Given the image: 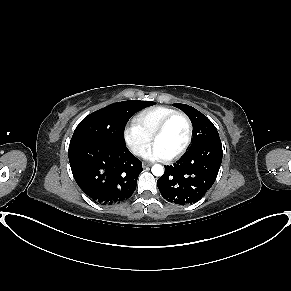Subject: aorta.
Wrapping results in <instances>:
<instances>
[{
    "mask_svg": "<svg viewBox=\"0 0 291 291\" xmlns=\"http://www.w3.org/2000/svg\"><path fill=\"white\" fill-rule=\"evenodd\" d=\"M151 171H152V173H153L154 176L159 177V176H162L163 175L164 168L160 164H155V165L152 166Z\"/></svg>",
    "mask_w": 291,
    "mask_h": 291,
    "instance_id": "aorta-1",
    "label": "aorta"
}]
</instances>
